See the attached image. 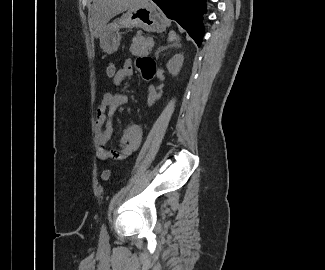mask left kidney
<instances>
[{
  "label": "left kidney",
  "instance_id": "left-kidney-1",
  "mask_svg": "<svg viewBox=\"0 0 325 270\" xmlns=\"http://www.w3.org/2000/svg\"><path fill=\"white\" fill-rule=\"evenodd\" d=\"M183 61H184L183 54H176L168 61L166 67L173 76H176L183 65ZM160 95H161L160 93L159 94L156 93L155 88L151 85L149 87V94L147 99L148 105L152 106Z\"/></svg>",
  "mask_w": 325,
  "mask_h": 270
}]
</instances>
